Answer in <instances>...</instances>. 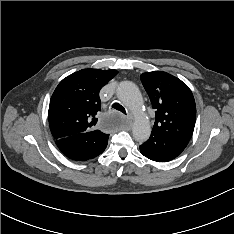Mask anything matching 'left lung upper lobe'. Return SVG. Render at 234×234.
I'll return each mask as SVG.
<instances>
[{
	"mask_svg": "<svg viewBox=\"0 0 234 234\" xmlns=\"http://www.w3.org/2000/svg\"><path fill=\"white\" fill-rule=\"evenodd\" d=\"M141 81L155 109L152 133L185 149L196 121V105L191 90L180 79L162 71L143 73Z\"/></svg>",
	"mask_w": 234,
	"mask_h": 234,
	"instance_id": "1",
	"label": "left lung upper lobe"
}]
</instances>
